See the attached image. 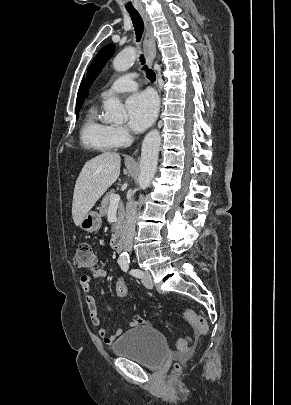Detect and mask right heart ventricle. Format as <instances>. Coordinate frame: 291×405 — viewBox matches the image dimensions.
Segmentation results:
<instances>
[{
	"instance_id": "e07e8e85",
	"label": "right heart ventricle",
	"mask_w": 291,
	"mask_h": 405,
	"mask_svg": "<svg viewBox=\"0 0 291 405\" xmlns=\"http://www.w3.org/2000/svg\"><path fill=\"white\" fill-rule=\"evenodd\" d=\"M81 140L86 147L101 152L118 146L113 137V126L100 116L96 105L91 106L86 113L81 128Z\"/></svg>"
}]
</instances>
